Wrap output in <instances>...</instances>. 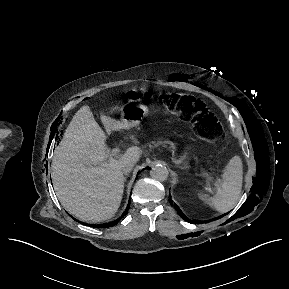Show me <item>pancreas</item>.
I'll list each match as a JSON object with an SVG mask.
<instances>
[{
  "mask_svg": "<svg viewBox=\"0 0 289 289\" xmlns=\"http://www.w3.org/2000/svg\"><path fill=\"white\" fill-rule=\"evenodd\" d=\"M160 143L163 144V146H166V144H170L172 148H175L174 143L170 141H161Z\"/></svg>",
  "mask_w": 289,
  "mask_h": 289,
  "instance_id": "pancreas-1",
  "label": "pancreas"
}]
</instances>
